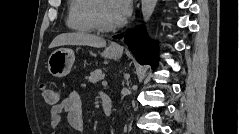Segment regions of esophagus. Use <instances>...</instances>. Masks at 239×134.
Wrapping results in <instances>:
<instances>
[{
    "label": "esophagus",
    "mask_w": 239,
    "mask_h": 134,
    "mask_svg": "<svg viewBox=\"0 0 239 134\" xmlns=\"http://www.w3.org/2000/svg\"><path fill=\"white\" fill-rule=\"evenodd\" d=\"M113 46L117 47V48H120V44H118V43H113Z\"/></svg>",
    "instance_id": "1"
}]
</instances>
